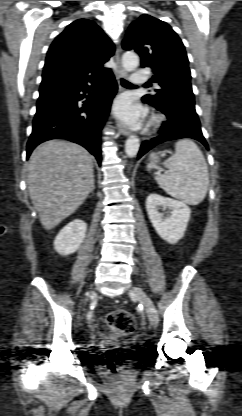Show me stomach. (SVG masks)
Masks as SVG:
<instances>
[{
	"label": "stomach",
	"instance_id": "stomach-1",
	"mask_svg": "<svg viewBox=\"0 0 242 416\" xmlns=\"http://www.w3.org/2000/svg\"><path fill=\"white\" fill-rule=\"evenodd\" d=\"M150 159H151V160H153V161H157V160L159 159V156H158V154H156V153H152V154L150 155Z\"/></svg>",
	"mask_w": 242,
	"mask_h": 416
}]
</instances>
